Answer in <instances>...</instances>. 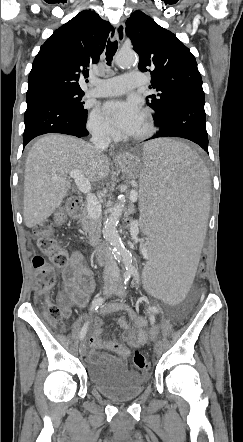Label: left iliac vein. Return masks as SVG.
<instances>
[{"label":"left iliac vein","instance_id":"4c4485c4","mask_svg":"<svg viewBox=\"0 0 243 442\" xmlns=\"http://www.w3.org/2000/svg\"><path fill=\"white\" fill-rule=\"evenodd\" d=\"M113 292H114V294L117 295L121 300H124V299L126 298V296H127V292L122 291L121 289L116 288V287H115V289H114ZM154 351H155V353H156L157 355H160V354H161V351H162V344H161V341H160V340H157V341L155 342V345H154Z\"/></svg>","mask_w":243,"mask_h":442}]
</instances>
